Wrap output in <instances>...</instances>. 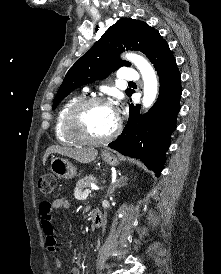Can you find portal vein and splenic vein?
<instances>
[{
    "mask_svg": "<svg viewBox=\"0 0 221 274\" xmlns=\"http://www.w3.org/2000/svg\"><path fill=\"white\" fill-rule=\"evenodd\" d=\"M92 189L97 190L98 187L95 186V187H92ZM91 192H92V190L86 189V190L81 194V198H82V199H86L87 196H88Z\"/></svg>",
    "mask_w": 221,
    "mask_h": 274,
    "instance_id": "18ae733b",
    "label": "portal vein and splenic vein"
}]
</instances>
